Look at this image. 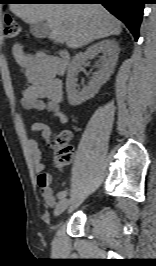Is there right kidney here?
Masks as SVG:
<instances>
[{"label": "right kidney", "instance_id": "right-kidney-1", "mask_svg": "<svg viewBox=\"0 0 156 266\" xmlns=\"http://www.w3.org/2000/svg\"><path fill=\"white\" fill-rule=\"evenodd\" d=\"M102 53V66L94 73L91 81L82 91L77 90L76 76L81 65L88 59H93ZM119 54V45L115 40L105 39L99 41L86 49L85 52L77 53L68 67L66 78V91L68 102L72 106L80 105L93 98L101 86L105 84L116 66Z\"/></svg>", "mask_w": 156, "mask_h": 266}]
</instances>
